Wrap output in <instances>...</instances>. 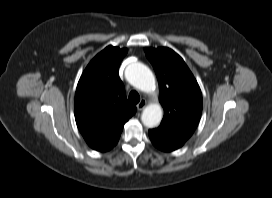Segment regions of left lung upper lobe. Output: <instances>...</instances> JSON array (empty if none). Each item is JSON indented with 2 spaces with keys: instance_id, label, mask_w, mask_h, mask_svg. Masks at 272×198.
I'll list each match as a JSON object with an SVG mask.
<instances>
[{
  "instance_id": "obj_1",
  "label": "left lung upper lobe",
  "mask_w": 272,
  "mask_h": 198,
  "mask_svg": "<svg viewBox=\"0 0 272 198\" xmlns=\"http://www.w3.org/2000/svg\"><path fill=\"white\" fill-rule=\"evenodd\" d=\"M157 75L164 108L161 124L192 135L202 113V94L184 60L169 48H146Z\"/></svg>"
}]
</instances>
